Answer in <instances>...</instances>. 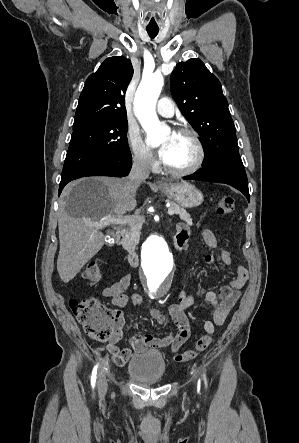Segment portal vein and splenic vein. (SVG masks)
<instances>
[{
    "label": "portal vein and splenic vein",
    "instance_id": "1",
    "mask_svg": "<svg viewBox=\"0 0 299 443\" xmlns=\"http://www.w3.org/2000/svg\"><path fill=\"white\" fill-rule=\"evenodd\" d=\"M168 215L172 216L175 214L174 210L172 209H168ZM140 217V216H109L106 218L101 219L100 221L97 222H89L90 225L96 227V228H103L106 225L109 224H130L132 223L135 218Z\"/></svg>",
    "mask_w": 299,
    "mask_h": 443
}]
</instances>
